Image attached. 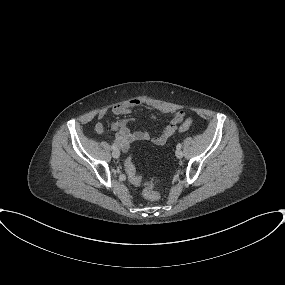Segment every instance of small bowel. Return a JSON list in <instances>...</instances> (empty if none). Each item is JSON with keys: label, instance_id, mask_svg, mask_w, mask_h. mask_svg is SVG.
<instances>
[{"label": "small bowel", "instance_id": "small-bowel-1", "mask_svg": "<svg viewBox=\"0 0 285 285\" xmlns=\"http://www.w3.org/2000/svg\"><path fill=\"white\" fill-rule=\"evenodd\" d=\"M137 108H146V109H156V107L141 99H132L130 101L116 104L112 107L111 112L114 115H124L128 114L132 111H134ZM181 114V118L177 119V116ZM106 115L105 111H101L98 114L99 122L95 125V132L100 134L105 131V124L102 122ZM185 113L184 111L180 110L177 111L174 114V117L172 121L166 125L163 129V131L157 135L152 137L148 132L146 131H139V132H133L130 131L128 128V120L122 119L118 120L115 123L112 124V130L115 131V137H114V144L120 148L123 152H127L129 149V145L134 142L139 141H151L153 144L161 146L164 145L168 139L175 134L177 131L178 125L184 120ZM152 119L154 117L152 116Z\"/></svg>", "mask_w": 285, "mask_h": 285}]
</instances>
